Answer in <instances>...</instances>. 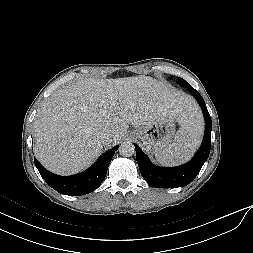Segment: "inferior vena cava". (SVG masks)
I'll list each match as a JSON object with an SVG mask.
<instances>
[{
  "instance_id": "obj_1",
  "label": "inferior vena cava",
  "mask_w": 253,
  "mask_h": 253,
  "mask_svg": "<svg viewBox=\"0 0 253 253\" xmlns=\"http://www.w3.org/2000/svg\"><path fill=\"white\" fill-rule=\"evenodd\" d=\"M99 139L102 144H107L111 140V134L109 132H103L100 134Z\"/></svg>"
}]
</instances>
